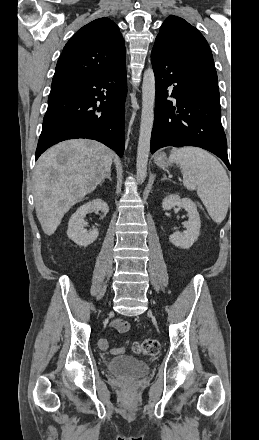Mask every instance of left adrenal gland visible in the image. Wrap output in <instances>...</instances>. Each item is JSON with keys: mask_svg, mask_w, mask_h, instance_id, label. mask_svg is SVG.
I'll list each match as a JSON object with an SVG mask.
<instances>
[{"mask_svg": "<svg viewBox=\"0 0 259 440\" xmlns=\"http://www.w3.org/2000/svg\"><path fill=\"white\" fill-rule=\"evenodd\" d=\"M162 180H170L169 178H167L166 174H163V178Z\"/></svg>", "mask_w": 259, "mask_h": 440, "instance_id": "a2214340", "label": "left adrenal gland"}]
</instances>
